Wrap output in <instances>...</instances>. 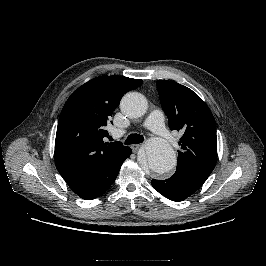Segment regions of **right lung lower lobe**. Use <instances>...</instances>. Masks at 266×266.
Wrapping results in <instances>:
<instances>
[{
  "label": "right lung lower lobe",
  "mask_w": 266,
  "mask_h": 266,
  "mask_svg": "<svg viewBox=\"0 0 266 266\" xmlns=\"http://www.w3.org/2000/svg\"><path fill=\"white\" fill-rule=\"evenodd\" d=\"M131 153L132 150L128 147L118 159L99 165L82 175L64 180L81 198L85 200L94 199L111 187L119 173L122 163Z\"/></svg>",
  "instance_id": "1"
}]
</instances>
